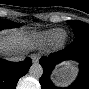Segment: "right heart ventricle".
<instances>
[{
	"instance_id": "obj_1",
	"label": "right heart ventricle",
	"mask_w": 89,
	"mask_h": 89,
	"mask_svg": "<svg viewBox=\"0 0 89 89\" xmlns=\"http://www.w3.org/2000/svg\"><path fill=\"white\" fill-rule=\"evenodd\" d=\"M65 33L61 29H52L47 32L41 33L38 36V41L41 44H59L61 40H63Z\"/></svg>"
}]
</instances>
